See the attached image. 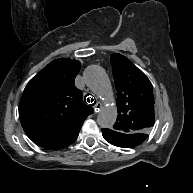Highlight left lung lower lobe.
Wrapping results in <instances>:
<instances>
[{"mask_svg":"<svg viewBox=\"0 0 193 193\" xmlns=\"http://www.w3.org/2000/svg\"><path fill=\"white\" fill-rule=\"evenodd\" d=\"M102 134L106 141L112 145L123 148L138 146L147 138V135L134 137L133 135L123 134L111 129H102Z\"/></svg>","mask_w":193,"mask_h":193,"instance_id":"obj_1","label":"left lung lower lobe"}]
</instances>
